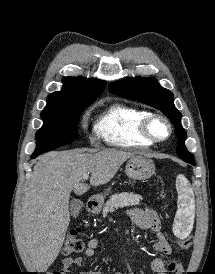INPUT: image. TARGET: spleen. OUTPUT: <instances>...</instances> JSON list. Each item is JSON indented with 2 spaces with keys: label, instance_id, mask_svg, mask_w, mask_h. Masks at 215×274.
<instances>
[{
  "label": "spleen",
  "instance_id": "3e777b00",
  "mask_svg": "<svg viewBox=\"0 0 215 274\" xmlns=\"http://www.w3.org/2000/svg\"><path fill=\"white\" fill-rule=\"evenodd\" d=\"M178 192V210L174 222V234L179 238H185L189 234V224L195 214V201L193 190L184 175L176 178Z\"/></svg>",
  "mask_w": 215,
  "mask_h": 274
}]
</instances>
